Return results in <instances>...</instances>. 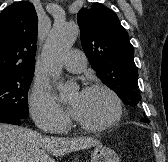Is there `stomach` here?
Returning a JSON list of instances; mask_svg holds the SVG:
<instances>
[{"label":"stomach","instance_id":"0dacf381","mask_svg":"<svg viewBox=\"0 0 168 162\" xmlns=\"http://www.w3.org/2000/svg\"><path fill=\"white\" fill-rule=\"evenodd\" d=\"M91 162H119V157L111 148L98 146L91 153Z\"/></svg>","mask_w":168,"mask_h":162}]
</instances>
